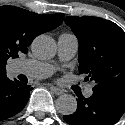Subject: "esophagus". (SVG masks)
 Segmentation results:
<instances>
[{"label": "esophagus", "instance_id": "obj_1", "mask_svg": "<svg viewBox=\"0 0 125 125\" xmlns=\"http://www.w3.org/2000/svg\"><path fill=\"white\" fill-rule=\"evenodd\" d=\"M48 87H49V89H50L53 93H55L56 95H61V94H63V91H62L61 89L55 87V86L49 85Z\"/></svg>", "mask_w": 125, "mask_h": 125}]
</instances>
